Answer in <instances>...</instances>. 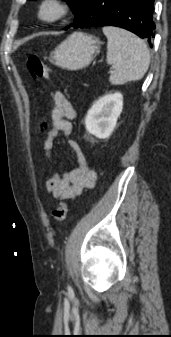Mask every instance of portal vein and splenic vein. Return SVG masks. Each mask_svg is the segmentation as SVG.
Returning <instances> with one entry per match:
<instances>
[{"instance_id":"obj_1","label":"portal vein and splenic vein","mask_w":171,"mask_h":337,"mask_svg":"<svg viewBox=\"0 0 171 337\" xmlns=\"http://www.w3.org/2000/svg\"><path fill=\"white\" fill-rule=\"evenodd\" d=\"M109 73H113V71H112V70H110V71H109Z\"/></svg>"}]
</instances>
